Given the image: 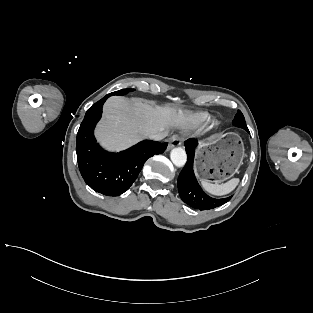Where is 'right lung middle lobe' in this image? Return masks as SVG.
<instances>
[{"mask_svg": "<svg viewBox=\"0 0 313 313\" xmlns=\"http://www.w3.org/2000/svg\"><path fill=\"white\" fill-rule=\"evenodd\" d=\"M131 91H134V89H121L119 91H116V92H113V93H110L108 94L109 96H112V95H125L127 94L128 92H131Z\"/></svg>", "mask_w": 313, "mask_h": 313, "instance_id": "1", "label": "right lung middle lobe"}]
</instances>
